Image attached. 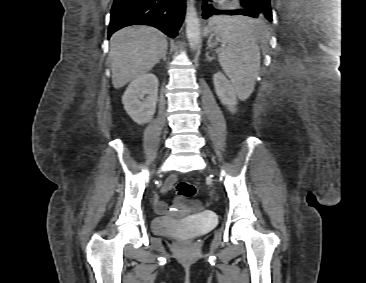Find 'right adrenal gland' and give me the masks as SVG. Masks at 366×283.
I'll list each match as a JSON object with an SVG mask.
<instances>
[{"label": "right adrenal gland", "instance_id": "obj_1", "mask_svg": "<svg viewBox=\"0 0 366 283\" xmlns=\"http://www.w3.org/2000/svg\"><path fill=\"white\" fill-rule=\"evenodd\" d=\"M166 54H167V52H165V53L162 55V57H161V59H162L163 61H166Z\"/></svg>", "mask_w": 366, "mask_h": 283}]
</instances>
